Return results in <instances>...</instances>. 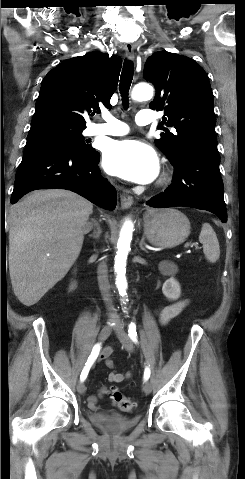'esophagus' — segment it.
<instances>
[{"mask_svg":"<svg viewBox=\"0 0 245 479\" xmlns=\"http://www.w3.org/2000/svg\"><path fill=\"white\" fill-rule=\"evenodd\" d=\"M125 53H126V57L129 60L131 61L135 60L134 47L131 43L126 44ZM120 202H121V207L124 209H127L131 207V205L133 204V198L128 193L124 192L120 196Z\"/></svg>","mask_w":245,"mask_h":479,"instance_id":"34e87169","label":"esophagus"}]
</instances>
